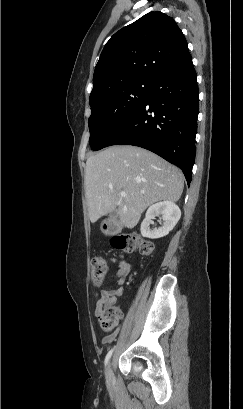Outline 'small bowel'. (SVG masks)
Segmentation results:
<instances>
[{
    "label": "small bowel",
    "instance_id": "1",
    "mask_svg": "<svg viewBox=\"0 0 243 409\" xmlns=\"http://www.w3.org/2000/svg\"><path fill=\"white\" fill-rule=\"evenodd\" d=\"M113 262H118L119 268L113 274V283L119 285L120 287L117 289H103L100 291L98 300L96 302V315L98 314L99 310L101 309L103 303L105 302H114L117 298L121 297L123 294L122 285L125 283L127 276L130 273V264L126 261H118L115 258H111ZM118 330H114L112 333L107 334L103 337V343L109 344L115 335L117 334Z\"/></svg>",
    "mask_w": 243,
    "mask_h": 409
}]
</instances>
